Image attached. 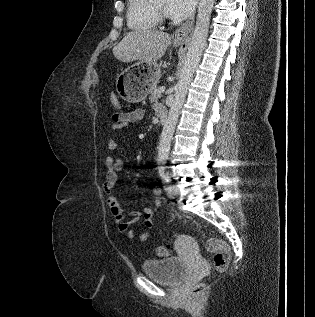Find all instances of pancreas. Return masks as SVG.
Returning <instances> with one entry per match:
<instances>
[{
	"mask_svg": "<svg viewBox=\"0 0 315 317\" xmlns=\"http://www.w3.org/2000/svg\"><path fill=\"white\" fill-rule=\"evenodd\" d=\"M161 97V93L159 92V89H157L155 86L151 89V95L149 97L150 101L152 103L157 102V100Z\"/></svg>",
	"mask_w": 315,
	"mask_h": 317,
	"instance_id": "1",
	"label": "pancreas"
}]
</instances>
